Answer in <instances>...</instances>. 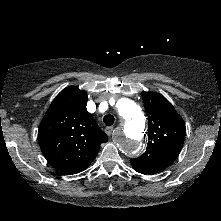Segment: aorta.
<instances>
[{
  "instance_id": "1",
  "label": "aorta",
  "mask_w": 221,
  "mask_h": 221,
  "mask_svg": "<svg viewBox=\"0 0 221 221\" xmlns=\"http://www.w3.org/2000/svg\"><path fill=\"white\" fill-rule=\"evenodd\" d=\"M117 111L123 123L116 134V143L124 153L136 156L144 145L145 116L140 107L127 98L118 101Z\"/></svg>"
}]
</instances>
